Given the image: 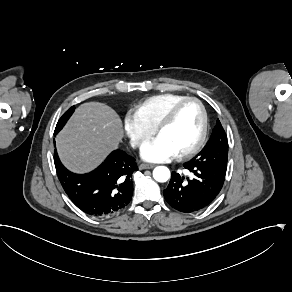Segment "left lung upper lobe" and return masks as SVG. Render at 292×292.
I'll list each match as a JSON object with an SVG mask.
<instances>
[{"mask_svg": "<svg viewBox=\"0 0 292 292\" xmlns=\"http://www.w3.org/2000/svg\"><path fill=\"white\" fill-rule=\"evenodd\" d=\"M227 158V136L220 121L217 120L209 141L193 159H198L210 166H227Z\"/></svg>", "mask_w": 292, "mask_h": 292, "instance_id": "obj_1", "label": "left lung upper lobe"}]
</instances>
